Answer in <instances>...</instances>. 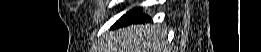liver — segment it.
<instances>
[{"instance_id": "6515ba94", "label": "liver", "mask_w": 261, "mask_h": 52, "mask_svg": "<svg viewBox=\"0 0 261 52\" xmlns=\"http://www.w3.org/2000/svg\"><path fill=\"white\" fill-rule=\"evenodd\" d=\"M105 40L101 52H166V33L157 25L128 26Z\"/></svg>"}]
</instances>
